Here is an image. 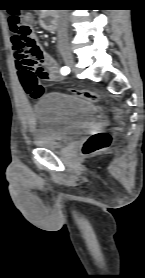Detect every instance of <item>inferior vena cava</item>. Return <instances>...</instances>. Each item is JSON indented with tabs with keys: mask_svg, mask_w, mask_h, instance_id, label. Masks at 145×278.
Returning a JSON list of instances; mask_svg holds the SVG:
<instances>
[{
	"mask_svg": "<svg viewBox=\"0 0 145 278\" xmlns=\"http://www.w3.org/2000/svg\"><path fill=\"white\" fill-rule=\"evenodd\" d=\"M58 43L63 44L67 43L68 41V34H67V23L65 13L62 12L59 18V27H58Z\"/></svg>",
	"mask_w": 145,
	"mask_h": 278,
	"instance_id": "obj_1",
	"label": "inferior vena cava"
}]
</instances>
